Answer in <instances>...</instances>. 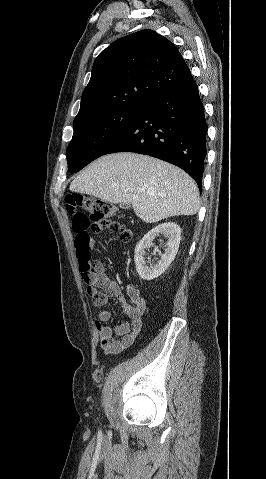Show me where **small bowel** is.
<instances>
[{
    "label": "small bowel",
    "instance_id": "small-bowel-1",
    "mask_svg": "<svg viewBox=\"0 0 266 479\" xmlns=\"http://www.w3.org/2000/svg\"><path fill=\"white\" fill-rule=\"evenodd\" d=\"M94 284L97 294L93 298L95 307H103L109 298H114L119 303L127 320L118 325H107L111 319L109 311L100 309L97 313L95 327L99 333L100 345L107 354H117L132 345L142 328V319L146 312V301L140 291L129 285L127 293L132 301L129 304L124 298L120 285L104 272L103 264L97 262L94 265Z\"/></svg>",
    "mask_w": 266,
    "mask_h": 479
}]
</instances>
